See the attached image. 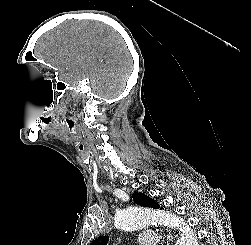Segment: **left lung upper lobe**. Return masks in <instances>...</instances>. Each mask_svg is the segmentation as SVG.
<instances>
[{
  "label": "left lung upper lobe",
  "mask_w": 251,
  "mask_h": 245,
  "mask_svg": "<svg viewBox=\"0 0 251 245\" xmlns=\"http://www.w3.org/2000/svg\"><path fill=\"white\" fill-rule=\"evenodd\" d=\"M132 198L134 199L135 203L138 205L144 206V207H152V208H159V205L157 202H155L150 197L142 194V193H134L132 195ZM108 236H101L94 240L90 245H107L108 243Z\"/></svg>",
  "instance_id": "left-lung-upper-lobe-1"
}]
</instances>
